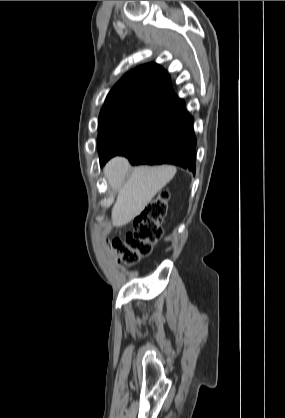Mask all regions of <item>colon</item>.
Wrapping results in <instances>:
<instances>
[{"instance_id":"colon-1","label":"colon","mask_w":285,"mask_h":418,"mask_svg":"<svg viewBox=\"0 0 285 418\" xmlns=\"http://www.w3.org/2000/svg\"><path fill=\"white\" fill-rule=\"evenodd\" d=\"M168 191H162L149 203L148 207L138 215L131 230L122 237H114L111 247L122 258L125 264L131 265L151 254L156 242L161 239L163 231L161 222L167 214Z\"/></svg>"}]
</instances>
